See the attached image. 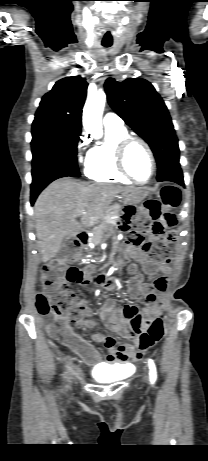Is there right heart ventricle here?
<instances>
[{"instance_id": "right-heart-ventricle-1", "label": "right heart ventricle", "mask_w": 208, "mask_h": 461, "mask_svg": "<svg viewBox=\"0 0 208 461\" xmlns=\"http://www.w3.org/2000/svg\"><path fill=\"white\" fill-rule=\"evenodd\" d=\"M126 136L128 132L124 126L105 127L104 142L92 147L86 156L84 173L89 179L98 182H130V179L118 170L115 157L118 142Z\"/></svg>"}]
</instances>
